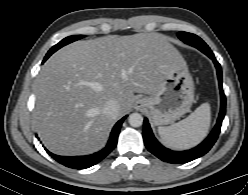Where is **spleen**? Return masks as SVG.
<instances>
[{
    "mask_svg": "<svg viewBox=\"0 0 248 195\" xmlns=\"http://www.w3.org/2000/svg\"><path fill=\"white\" fill-rule=\"evenodd\" d=\"M210 122V105L203 103L178 123L168 127H158V133L165 146L175 150H184L196 146L206 137Z\"/></svg>",
    "mask_w": 248,
    "mask_h": 195,
    "instance_id": "3e777b00",
    "label": "spleen"
}]
</instances>
